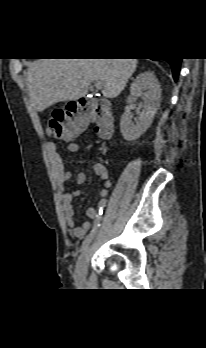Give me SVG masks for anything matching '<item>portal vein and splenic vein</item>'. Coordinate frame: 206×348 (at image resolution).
I'll return each mask as SVG.
<instances>
[{
	"instance_id": "18ae733b",
	"label": "portal vein and splenic vein",
	"mask_w": 206,
	"mask_h": 348,
	"mask_svg": "<svg viewBox=\"0 0 206 348\" xmlns=\"http://www.w3.org/2000/svg\"><path fill=\"white\" fill-rule=\"evenodd\" d=\"M95 87L98 88V89L102 88L103 87V83L101 81H96L95 82Z\"/></svg>"
}]
</instances>
